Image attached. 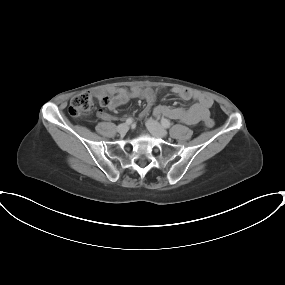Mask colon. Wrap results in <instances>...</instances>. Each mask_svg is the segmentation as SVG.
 <instances>
[{"label":"colon","mask_w":285,"mask_h":285,"mask_svg":"<svg viewBox=\"0 0 285 285\" xmlns=\"http://www.w3.org/2000/svg\"><path fill=\"white\" fill-rule=\"evenodd\" d=\"M109 101L110 97L106 93L97 97L90 91L83 92L73 97L70 102L69 113L74 118H80L88 115L93 110L96 102L101 105H107ZM204 124L211 128L215 125V121L211 118H207L205 119Z\"/></svg>","instance_id":"5ec220e1"}]
</instances>
